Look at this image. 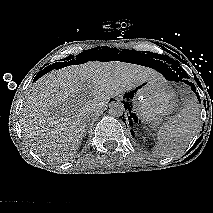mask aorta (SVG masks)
Segmentation results:
<instances>
[{"mask_svg": "<svg viewBox=\"0 0 213 213\" xmlns=\"http://www.w3.org/2000/svg\"><path fill=\"white\" fill-rule=\"evenodd\" d=\"M124 110H125V108H124L123 103H121L119 101H115L109 105L108 113L112 117H120L123 115Z\"/></svg>", "mask_w": 213, "mask_h": 213, "instance_id": "762f6f07", "label": "aorta"}]
</instances>
